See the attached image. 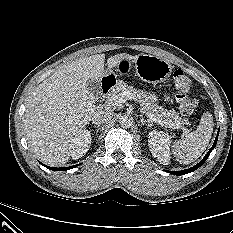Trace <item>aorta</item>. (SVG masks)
<instances>
[{"label":"aorta","mask_w":233,"mask_h":233,"mask_svg":"<svg viewBox=\"0 0 233 233\" xmlns=\"http://www.w3.org/2000/svg\"><path fill=\"white\" fill-rule=\"evenodd\" d=\"M133 118L130 115H122L119 118V124L121 125V127L123 128H129L132 126L133 124Z\"/></svg>","instance_id":"aorta-1"}]
</instances>
